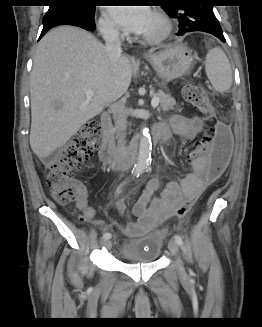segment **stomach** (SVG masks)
<instances>
[{"mask_svg":"<svg viewBox=\"0 0 262 327\" xmlns=\"http://www.w3.org/2000/svg\"><path fill=\"white\" fill-rule=\"evenodd\" d=\"M147 58L163 83L186 75L194 64L191 51L184 45L168 46Z\"/></svg>","mask_w":262,"mask_h":327,"instance_id":"1","label":"stomach"}]
</instances>
